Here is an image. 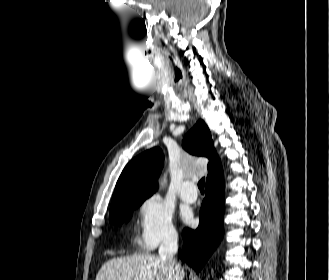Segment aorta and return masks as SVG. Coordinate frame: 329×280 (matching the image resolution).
Here are the masks:
<instances>
[{"instance_id":"aorta-1","label":"aorta","mask_w":329,"mask_h":280,"mask_svg":"<svg viewBox=\"0 0 329 280\" xmlns=\"http://www.w3.org/2000/svg\"><path fill=\"white\" fill-rule=\"evenodd\" d=\"M163 182L166 183V179L165 178H164Z\"/></svg>"}]
</instances>
